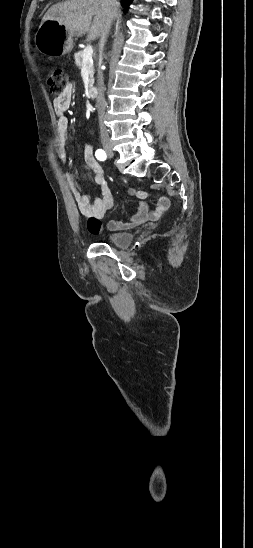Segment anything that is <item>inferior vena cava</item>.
I'll list each match as a JSON object with an SVG mask.
<instances>
[{
	"label": "inferior vena cava",
	"mask_w": 253,
	"mask_h": 548,
	"mask_svg": "<svg viewBox=\"0 0 253 548\" xmlns=\"http://www.w3.org/2000/svg\"><path fill=\"white\" fill-rule=\"evenodd\" d=\"M102 7L104 12V25L100 32V41H99V52L102 54L104 44L106 42L107 36L109 34L111 23L113 18L116 16L119 3L117 0H102ZM98 88H99V95L97 98V108H98V126L100 127V136L102 140H107L109 138L108 131L105 127V107H106V101L104 97V79L102 72H99L98 77Z\"/></svg>",
	"instance_id": "inferior-vena-cava-1"
}]
</instances>
